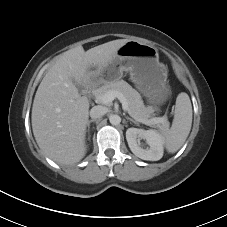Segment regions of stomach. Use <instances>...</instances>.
<instances>
[{"label": "stomach", "mask_w": 227, "mask_h": 227, "mask_svg": "<svg viewBox=\"0 0 227 227\" xmlns=\"http://www.w3.org/2000/svg\"><path fill=\"white\" fill-rule=\"evenodd\" d=\"M128 72L137 89L154 106L163 104L170 95L167 67L159 62L157 48L130 40L122 45L116 56L105 66L94 71L92 79L100 83L119 80Z\"/></svg>", "instance_id": "1"}]
</instances>
